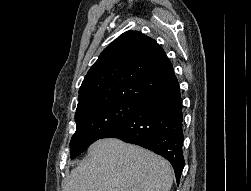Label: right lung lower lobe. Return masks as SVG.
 Instances as JSON below:
<instances>
[{
  "instance_id": "obj_1",
  "label": "right lung lower lobe",
  "mask_w": 251,
  "mask_h": 191,
  "mask_svg": "<svg viewBox=\"0 0 251 191\" xmlns=\"http://www.w3.org/2000/svg\"><path fill=\"white\" fill-rule=\"evenodd\" d=\"M114 137L147 148L172 164L177 184L185 165L182 98L178 81L146 100L102 138Z\"/></svg>"
}]
</instances>
